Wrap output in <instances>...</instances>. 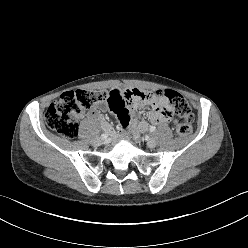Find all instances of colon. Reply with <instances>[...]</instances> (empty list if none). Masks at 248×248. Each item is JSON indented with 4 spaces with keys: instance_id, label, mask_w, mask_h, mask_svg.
Masks as SVG:
<instances>
[{
    "instance_id": "colon-1",
    "label": "colon",
    "mask_w": 248,
    "mask_h": 248,
    "mask_svg": "<svg viewBox=\"0 0 248 248\" xmlns=\"http://www.w3.org/2000/svg\"><path fill=\"white\" fill-rule=\"evenodd\" d=\"M162 94L169 102V111L182 117L177 125V133L186 136L191 132L194 114L187 100L174 90H165ZM107 101L106 91L72 90L64 92L46 111L45 121L49 128L65 138H75L78 134V118L94 104Z\"/></svg>"
}]
</instances>
